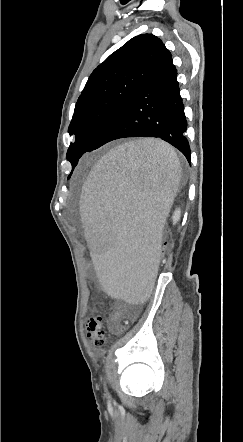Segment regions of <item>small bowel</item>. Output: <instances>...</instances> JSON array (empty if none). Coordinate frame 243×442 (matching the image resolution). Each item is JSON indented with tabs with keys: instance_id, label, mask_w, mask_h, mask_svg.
<instances>
[{
	"instance_id": "c3829d8e",
	"label": "small bowel",
	"mask_w": 243,
	"mask_h": 442,
	"mask_svg": "<svg viewBox=\"0 0 243 442\" xmlns=\"http://www.w3.org/2000/svg\"><path fill=\"white\" fill-rule=\"evenodd\" d=\"M122 312L121 310H117L112 318V325H111V330L113 332H117L119 330V327L117 326V322L119 321V319L121 318Z\"/></svg>"
}]
</instances>
